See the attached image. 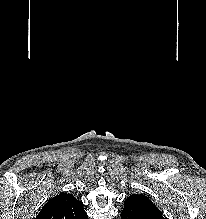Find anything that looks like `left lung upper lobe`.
<instances>
[{
	"label": "left lung upper lobe",
	"mask_w": 206,
	"mask_h": 219,
	"mask_svg": "<svg viewBox=\"0 0 206 219\" xmlns=\"http://www.w3.org/2000/svg\"><path fill=\"white\" fill-rule=\"evenodd\" d=\"M131 200H135L136 201L135 204H137L140 211L144 212L147 216L164 219L161 211L146 196L132 194L125 200V204L126 201H131Z\"/></svg>",
	"instance_id": "5c2ea615"
}]
</instances>
